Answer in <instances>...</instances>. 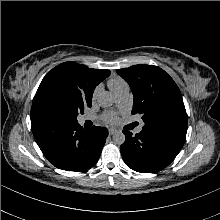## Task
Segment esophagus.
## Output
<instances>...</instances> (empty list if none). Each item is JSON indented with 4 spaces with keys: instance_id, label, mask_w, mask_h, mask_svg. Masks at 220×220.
I'll return each mask as SVG.
<instances>
[{
    "instance_id": "esophagus-1",
    "label": "esophagus",
    "mask_w": 220,
    "mask_h": 220,
    "mask_svg": "<svg viewBox=\"0 0 220 220\" xmlns=\"http://www.w3.org/2000/svg\"><path fill=\"white\" fill-rule=\"evenodd\" d=\"M117 130L115 128H109V134L113 135Z\"/></svg>"
}]
</instances>
